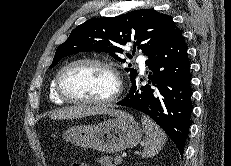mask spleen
<instances>
[{
	"label": "spleen",
	"instance_id": "3e777b00",
	"mask_svg": "<svg viewBox=\"0 0 231 166\" xmlns=\"http://www.w3.org/2000/svg\"><path fill=\"white\" fill-rule=\"evenodd\" d=\"M141 122L146 135L142 157H153L165 145L167 140L166 134L146 115H142Z\"/></svg>",
	"mask_w": 231,
	"mask_h": 166
}]
</instances>
